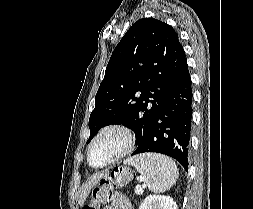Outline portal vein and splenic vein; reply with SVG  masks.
I'll return each instance as SVG.
<instances>
[{"mask_svg":"<svg viewBox=\"0 0 253 209\" xmlns=\"http://www.w3.org/2000/svg\"><path fill=\"white\" fill-rule=\"evenodd\" d=\"M135 193L138 194V195L142 194V193H143L142 187H141V186H137V187L135 188Z\"/></svg>","mask_w":253,"mask_h":209,"instance_id":"18ae733b","label":"portal vein and splenic vein"}]
</instances>
